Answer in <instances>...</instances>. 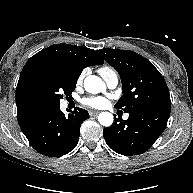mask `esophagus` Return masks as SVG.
<instances>
[{"label": "esophagus", "mask_w": 193, "mask_h": 193, "mask_svg": "<svg viewBox=\"0 0 193 193\" xmlns=\"http://www.w3.org/2000/svg\"><path fill=\"white\" fill-rule=\"evenodd\" d=\"M98 114H99V111H90V112H89V115H90L91 117H96Z\"/></svg>", "instance_id": "obj_1"}]
</instances>
